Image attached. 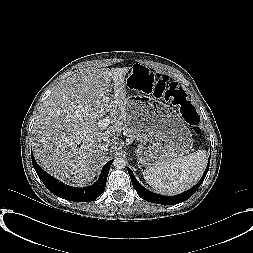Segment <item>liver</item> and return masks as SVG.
Wrapping results in <instances>:
<instances>
[{"label": "liver", "instance_id": "1", "mask_svg": "<svg viewBox=\"0 0 253 253\" xmlns=\"http://www.w3.org/2000/svg\"><path fill=\"white\" fill-rule=\"evenodd\" d=\"M128 71L84 68L55 86L32 129L34 157L45 171L76 186L95 178L107 155L104 144L114 151L124 129ZM105 114L114 125L101 130L97 121Z\"/></svg>", "mask_w": 253, "mask_h": 253}]
</instances>
